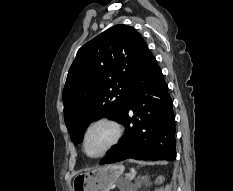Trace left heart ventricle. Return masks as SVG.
Returning <instances> with one entry per match:
<instances>
[{"label":"left heart ventricle","instance_id":"left-heart-ventricle-1","mask_svg":"<svg viewBox=\"0 0 233 191\" xmlns=\"http://www.w3.org/2000/svg\"><path fill=\"white\" fill-rule=\"evenodd\" d=\"M112 137L111 129L106 125H98L94 127L88 134L86 140V149L92 154L100 153L108 144Z\"/></svg>","mask_w":233,"mask_h":191}]
</instances>
